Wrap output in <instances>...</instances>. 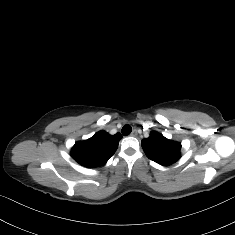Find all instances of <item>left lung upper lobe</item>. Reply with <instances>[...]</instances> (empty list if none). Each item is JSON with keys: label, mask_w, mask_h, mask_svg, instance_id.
<instances>
[{"label": "left lung upper lobe", "mask_w": 235, "mask_h": 235, "mask_svg": "<svg viewBox=\"0 0 235 235\" xmlns=\"http://www.w3.org/2000/svg\"><path fill=\"white\" fill-rule=\"evenodd\" d=\"M142 148L149 159L163 166L171 165L180 158L181 144L156 131L142 140Z\"/></svg>", "instance_id": "obj_1"}]
</instances>
